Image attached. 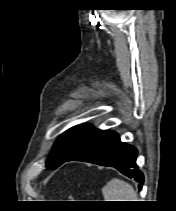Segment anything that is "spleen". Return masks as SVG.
I'll list each match as a JSON object with an SVG mask.
<instances>
[{
	"label": "spleen",
	"instance_id": "1",
	"mask_svg": "<svg viewBox=\"0 0 176 211\" xmlns=\"http://www.w3.org/2000/svg\"><path fill=\"white\" fill-rule=\"evenodd\" d=\"M105 201H139L136 191L128 182L114 178L102 188Z\"/></svg>",
	"mask_w": 176,
	"mask_h": 211
}]
</instances>
